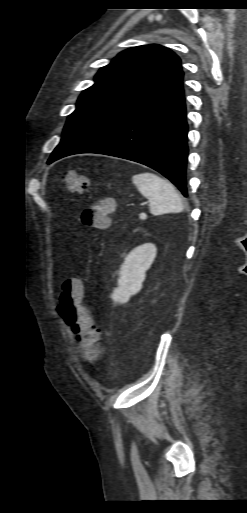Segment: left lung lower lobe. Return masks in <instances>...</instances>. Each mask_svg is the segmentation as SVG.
<instances>
[{
	"instance_id": "obj_1",
	"label": "left lung lower lobe",
	"mask_w": 247,
	"mask_h": 513,
	"mask_svg": "<svg viewBox=\"0 0 247 513\" xmlns=\"http://www.w3.org/2000/svg\"><path fill=\"white\" fill-rule=\"evenodd\" d=\"M183 72L79 129L55 148L48 163L77 153H99L147 165L187 197L188 157Z\"/></svg>"
}]
</instances>
